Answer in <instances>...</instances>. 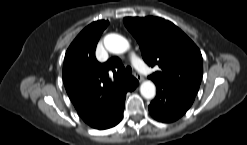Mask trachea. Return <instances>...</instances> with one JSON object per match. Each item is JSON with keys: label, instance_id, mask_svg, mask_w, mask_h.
Wrapping results in <instances>:
<instances>
[{"label": "trachea", "instance_id": "trachea-1", "mask_svg": "<svg viewBox=\"0 0 247 145\" xmlns=\"http://www.w3.org/2000/svg\"><path fill=\"white\" fill-rule=\"evenodd\" d=\"M132 73V69L131 67L127 66L126 68L122 65L121 67H119L118 71H117V76L122 77L125 74L126 75H131Z\"/></svg>", "mask_w": 247, "mask_h": 145}]
</instances>
